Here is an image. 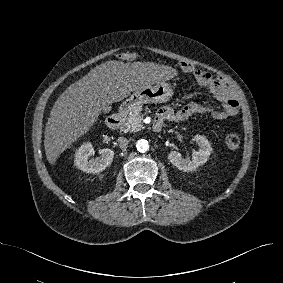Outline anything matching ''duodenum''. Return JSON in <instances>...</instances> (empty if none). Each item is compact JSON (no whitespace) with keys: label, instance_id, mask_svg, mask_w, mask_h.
<instances>
[{"label":"duodenum","instance_id":"410a0bca","mask_svg":"<svg viewBox=\"0 0 283 283\" xmlns=\"http://www.w3.org/2000/svg\"><path fill=\"white\" fill-rule=\"evenodd\" d=\"M124 115V108H121L119 111H117L115 114L111 115L107 119V126L111 129H116L120 126ZM162 119L158 116L155 117V120L153 122L152 128L154 131H159L162 128Z\"/></svg>","mask_w":283,"mask_h":283}]
</instances>
